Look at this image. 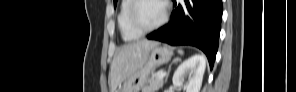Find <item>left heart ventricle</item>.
Returning <instances> with one entry per match:
<instances>
[{"label":"left heart ventricle","instance_id":"b2bd125f","mask_svg":"<svg viewBox=\"0 0 296 92\" xmlns=\"http://www.w3.org/2000/svg\"><path fill=\"white\" fill-rule=\"evenodd\" d=\"M163 15V6L159 1H144L138 8L137 20L143 27L156 24Z\"/></svg>","mask_w":296,"mask_h":92}]
</instances>
